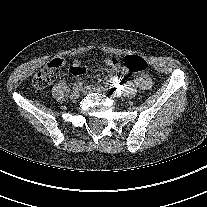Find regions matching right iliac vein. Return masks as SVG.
Returning a JSON list of instances; mask_svg holds the SVG:
<instances>
[{
	"instance_id": "1",
	"label": "right iliac vein",
	"mask_w": 207,
	"mask_h": 207,
	"mask_svg": "<svg viewBox=\"0 0 207 207\" xmlns=\"http://www.w3.org/2000/svg\"><path fill=\"white\" fill-rule=\"evenodd\" d=\"M79 96H80V90H78V89H74V90L72 91L70 97H71L72 100H76V99L79 98Z\"/></svg>"
}]
</instances>
